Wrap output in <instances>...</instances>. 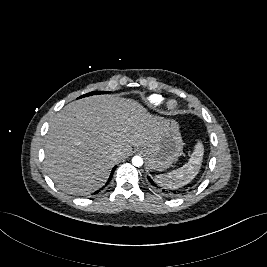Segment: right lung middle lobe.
<instances>
[{"label":"right lung middle lobe","mask_w":267,"mask_h":267,"mask_svg":"<svg viewBox=\"0 0 267 267\" xmlns=\"http://www.w3.org/2000/svg\"><path fill=\"white\" fill-rule=\"evenodd\" d=\"M108 92L107 91H94V92H90V93H87L79 98H82V97H86V96H91V95H98V94H107Z\"/></svg>","instance_id":"dd1d6c3e"}]
</instances>
